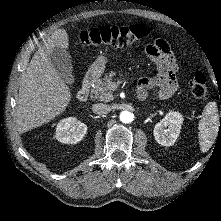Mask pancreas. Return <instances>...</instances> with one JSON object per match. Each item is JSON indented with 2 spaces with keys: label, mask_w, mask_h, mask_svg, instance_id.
<instances>
[{
  "label": "pancreas",
  "mask_w": 221,
  "mask_h": 221,
  "mask_svg": "<svg viewBox=\"0 0 221 221\" xmlns=\"http://www.w3.org/2000/svg\"><path fill=\"white\" fill-rule=\"evenodd\" d=\"M113 76L114 73L111 72L109 75H105L103 79H99L91 90V97L104 102L113 100V92L109 87Z\"/></svg>",
  "instance_id": "pancreas-1"
}]
</instances>
